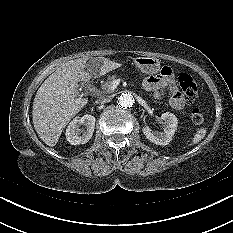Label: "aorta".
Listing matches in <instances>:
<instances>
[{
	"label": "aorta",
	"instance_id": "1",
	"mask_svg": "<svg viewBox=\"0 0 233 233\" xmlns=\"http://www.w3.org/2000/svg\"><path fill=\"white\" fill-rule=\"evenodd\" d=\"M134 97L130 93H122L118 98V105L122 108H130L134 104Z\"/></svg>",
	"mask_w": 233,
	"mask_h": 233
}]
</instances>
